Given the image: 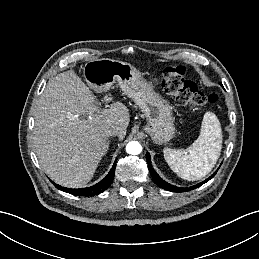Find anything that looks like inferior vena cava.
I'll list each match as a JSON object with an SVG mask.
<instances>
[{
  "instance_id": "obj_1",
  "label": "inferior vena cava",
  "mask_w": 259,
  "mask_h": 259,
  "mask_svg": "<svg viewBox=\"0 0 259 259\" xmlns=\"http://www.w3.org/2000/svg\"><path fill=\"white\" fill-rule=\"evenodd\" d=\"M107 136H118L120 134V129L118 127L110 128L106 131Z\"/></svg>"
}]
</instances>
